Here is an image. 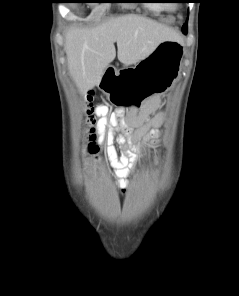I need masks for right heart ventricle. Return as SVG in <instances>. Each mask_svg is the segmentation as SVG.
I'll return each mask as SVG.
<instances>
[{
  "instance_id": "e07e8e85",
  "label": "right heart ventricle",
  "mask_w": 239,
  "mask_h": 296,
  "mask_svg": "<svg viewBox=\"0 0 239 296\" xmlns=\"http://www.w3.org/2000/svg\"><path fill=\"white\" fill-rule=\"evenodd\" d=\"M148 8L151 11L160 12V11H162L164 9V6L163 5H160V4H149L148 5Z\"/></svg>"
}]
</instances>
